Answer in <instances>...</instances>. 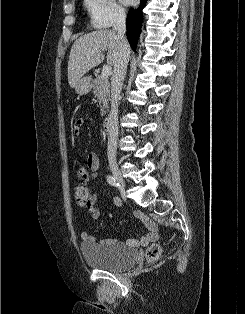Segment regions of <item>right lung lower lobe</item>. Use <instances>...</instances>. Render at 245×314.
<instances>
[{
  "label": "right lung lower lobe",
  "mask_w": 245,
  "mask_h": 314,
  "mask_svg": "<svg viewBox=\"0 0 245 314\" xmlns=\"http://www.w3.org/2000/svg\"><path fill=\"white\" fill-rule=\"evenodd\" d=\"M146 2L147 0H141V5L138 9H130L128 12L126 20L127 38L133 50L136 48L137 40L141 33L143 21L142 8L145 6Z\"/></svg>",
  "instance_id": "1"
}]
</instances>
